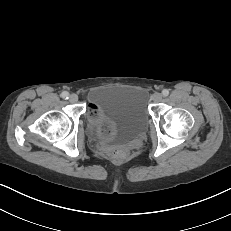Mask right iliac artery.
<instances>
[{"mask_svg": "<svg viewBox=\"0 0 231 231\" xmlns=\"http://www.w3.org/2000/svg\"><path fill=\"white\" fill-rule=\"evenodd\" d=\"M61 97H62L63 99H68V98H69V93H68L67 91H63V92L61 93Z\"/></svg>", "mask_w": 231, "mask_h": 231, "instance_id": "right-iliac-artery-1", "label": "right iliac artery"}]
</instances>
